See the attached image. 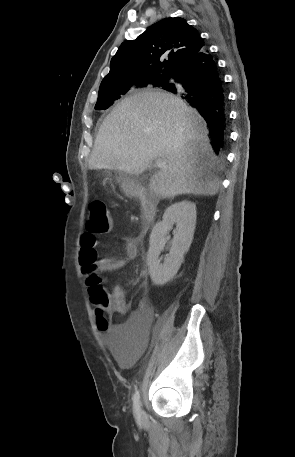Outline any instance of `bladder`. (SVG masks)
<instances>
[{"label":"bladder","mask_w":295,"mask_h":457,"mask_svg":"<svg viewBox=\"0 0 295 457\" xmlns=\"http://www.w3.org/2000/svg\"><path fill=\"white\" fill-rule=\"evenodd\" d=\"M146 338H105V347H113V356L122 367L131 366L143 356Z\"/></svg>","instance_id":"obj_1"}]
</instances>
